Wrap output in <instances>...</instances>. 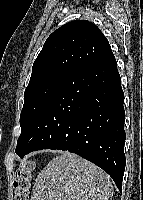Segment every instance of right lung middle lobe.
Instances as JSON below:
<instances>
[{
    "label": "right lung middle lobe",
    "instance_id": "dd1d6c3e",
    "mask_svg": "<svg viewBox=\"0 0 143 200\" xmlns=\"http://www.w3.org/2000/svg\"><path fill=\"white\" fill-rule=\"evenodd\" d=\"M69 77L65 74H51L28 84L24 92V105L20 115L21 134L15 152L19 147L38 112L57 88Z\"/></svg>",
    "mask_w": 143,
    "mask_h": 200
}]
</instances>
